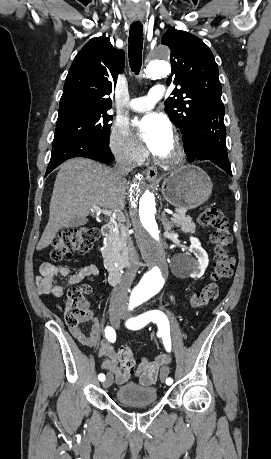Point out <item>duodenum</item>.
Listing matches in <instances>:
<instances>
[{"mask_svg":"<svg viewBox=\"0 0 271 459\" xmlns=\"http://www.w3.org/2000/svg\"><path fill=\"white\" fill-rule=\"evenodd\" d=\"M113 234V226L111 224H105L101 227V235L104 238H108ZM122 274L118 269H113L109 273V281L112 285L120 283Z\"/></svg>","mask_w":271,"mask_h":459,"instance_id":"410a0bca","label":"duodenum"}]
</instances>
